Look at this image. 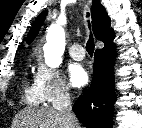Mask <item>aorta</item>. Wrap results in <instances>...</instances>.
Returning <instances> with one entry per match:
<instances>
[{
  "label": "aorta",
  "instance_id": "762f6f07",
  "mask_svg": "<svg viewBox=\"0 0 142 128\" xmlns=\"http://www.w3.org/2000/svg\"><path fill=\"white\" fill-rule=\"evenodd\" d=\"M65 16H60L55 24L47 30L46 44L44 45L45 59L48 66L58 67L62 63V55L65 50Z\"/></svg>",
  "mask_w": 142,
  "mask_h": 128
}]
</instances>
